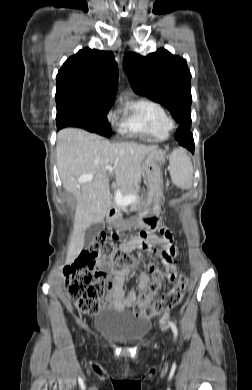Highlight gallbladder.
Returning <instances> with one entry per match:
<instances>
[{
	"mask_svg": "<svg viewBox=\"0 0 252 390\" xmlns=\"http://www.w3.org/2000/svg\"><path fill=\"white\" fill-rule=\"evenodd\" d=\"M104 222H97L89 226L85 230V243L88 244L94 239L102 230H104Z\"/></svg>",
	"mask_w": 252,
	"mask_h": 390,
	"instance_id": "obj_1",
	"label": "gallbladder"
}]
</instances>
